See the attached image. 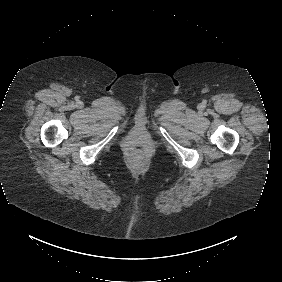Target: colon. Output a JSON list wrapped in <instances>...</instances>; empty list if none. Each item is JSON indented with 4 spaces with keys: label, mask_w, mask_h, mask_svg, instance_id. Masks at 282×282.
I'll return each instance as SVG.
<instances>
[{
    "label": "colon",
    "mask_w": 282,
    "mask_h": 282,
    "mask_svg": "<svg viewBox=\"0 0 282 282\" xmlns=\"http://www.w3.org/2000/svg\"><path fill=\"white\" fill-rule=\"evenodd\" d=\"M130 160L133 165L137 167H142L147 164L149 160V155L146 150L142 148H137L132 151L130 155Z\"/></svg>",
    "instance_id": "5ec220e1"
}]
</instances>
